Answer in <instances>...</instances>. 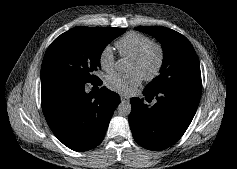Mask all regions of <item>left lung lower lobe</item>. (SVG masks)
<instances>
[{"instance_id":"0a47b994","label":"left lung lower lobe","mask_w":237,"mask_h":169,"mask_svg":"<svg viewBox=\"0 0 237 169\" xmlns=\"http://www.w3.org/2000/svg\"><path fill=\"white\" fill-rule=\"evenodd\" d=\"M201 90V86L182 85L155 93L143 91L146 99L156 97L152 107L142 99L131 98L129 123L136 142L150 150H163L177 142L195 115Z\"/></svg>"}]
</instances>
